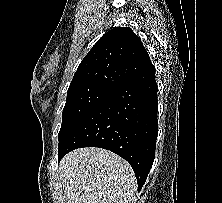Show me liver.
<instances>
[{"mask_svg":"<svg viewBox=\"0 0 222 203\" xmlns=\"http://www.w3.org/2000/svg\"><path fill=\"white\" fill-rule=\"evenodd\" d=\"M65 203H135L137 180L123 158L101 148H80L60 162Z\"/></svg>","mask_w":222,"mask_h":203,"instance_id":"liver-1","label":"liver"}]
</instances>
